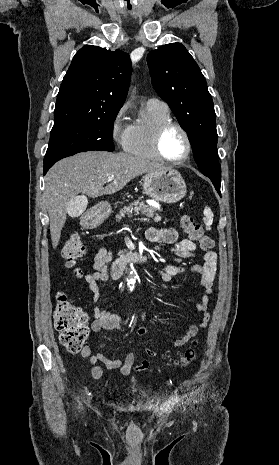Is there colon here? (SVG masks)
Returning <instances> with one entry per match:
<instances>
[{"label":"colon","mask_w":279,"mask_h":465,"mask_svg":"<svg viewBox=\"0 0 279 465\" xmlns=\"http://www.w3.org/2000/svg\"><path fill=\"white\" fill-rule=\"evenodd\" d=\"M181 225L189 237L197 241L202 249L207 250L212 247V239L205 234L203 227L191 216L183 214ZM84 254L85 245L80 236L76 234L69 236L64 243L61 255L66 266L74 269L78 276L81 275V272L77 268V263ZM56 299L57 303L53 315L54 326L60 333L61 344L67 351L76 354L81 351L88 336L87 315L80 307L69 302L64 293H59ZM196 358L197 351L189 349L174 364L186 367L193 363Z\"/></svg>","instance_id":"obj_1"}]
</instances>
